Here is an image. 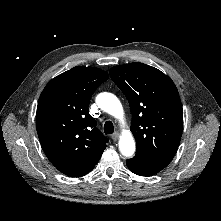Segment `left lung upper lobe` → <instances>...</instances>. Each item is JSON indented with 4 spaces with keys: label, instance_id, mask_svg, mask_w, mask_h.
Returning a JSON list of instances; mask_svg holds the SVG:
<instances>
[{
    "label": "left lung upper lobe",
    "instance_id": "left-lung-upper-lobe-1",
    "mask_svg": "<svg viewBox=\"0 0 221 221\" xmlns=\"http://www.w3.org/2000/svg\"><path fill=\"white\" fill-rule=\"evenodd\" d=\"M110 76L130 104L131 131L137 143L134 157L167 166L176 154L183 128L175 84L160 70L139 62L114 66Z\"/></svg>",
    "mask_w": 221,
    "mask_h": 221
}]
</instances>
